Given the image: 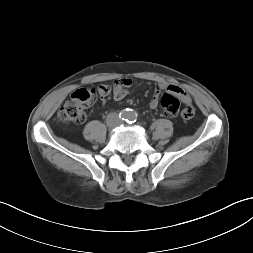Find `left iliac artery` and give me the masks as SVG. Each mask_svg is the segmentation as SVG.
Instances as JSON below:
<instances>
[{
	"label": "left iliac artery",
	"mask_w": 253,
	"mask_h": 253,
	"mask_svg": "<svg viewBox=\"0 0 253 253\" xmlns=\"http://www.w3.org/2000/svg\"><path fill=\"white\" fill-rule=\"evenodd\" d=\"M136 120H137V114L136 113H131L128 122L129 123H134V122H136Z\"/></svg>",
	"instance_id": "1"
}]
</instances>
